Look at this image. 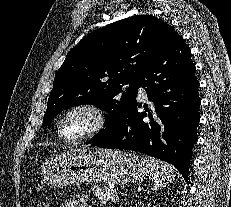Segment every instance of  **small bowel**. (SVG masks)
Masks as SVG:
<instances>
[{
  "instance_id": "1",
  "label": "small bowel",
  "mask_w": 231,
  "mask_h": 207,
  "mask_svg": "<svg viewBox=\"0 0 231 207\" xmlns=\"http://www.w3.org/2000/svg\"><path fill=\"white\" fill-rule=\"evenodd\" d=\"M62 207H93V206L89 205L84 197L80 195H73L63 203Z\"/></svg>"
}]
</instances>
